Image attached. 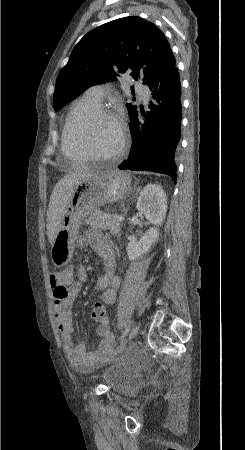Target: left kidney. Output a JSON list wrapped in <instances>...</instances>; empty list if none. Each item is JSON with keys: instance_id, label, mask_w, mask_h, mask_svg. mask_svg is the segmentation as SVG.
Wrapping results in <instances>:
<instances>
[{"instance_id": "5707ae66", "label": "left kidney", "mask_w": 245, "mask_h": 450, "mask_svg": "<svg viewBox=\"0 0 245 450\" xmlns=\"http://www.w3.org/2000/svg\"><path fill=\"white\" fill-rule=\"evenodd\" d=\"M136 208L153 227L147 230L139 241L132 240L128 243L127 254L130 261L148 252L158 240V227L162 225L167 212L166 194L162 187L157 184L144 187L137 199Z\"/></svg>"}]
</instances>
